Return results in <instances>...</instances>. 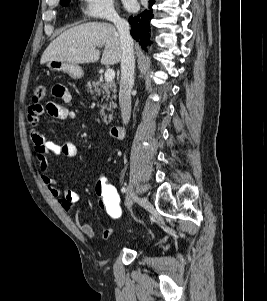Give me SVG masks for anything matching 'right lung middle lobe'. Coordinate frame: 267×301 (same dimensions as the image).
Instances as JSON below:
<instances>
[{
    "label": "right lung middle lobe",
    "mask_w": 267,
    "mask_h": 301,
    "mask_svg": "<svg viewBox=\"0 0 267 301\" xmlns=\"http://www.w3.org/2000/svg\"><path fill=\"white\" fill-rule=\"evenodd\" d=\"M70 1H71V0H61L60 3H61L62 5H66V4H68Z\"/></svg>",
    "instance_id": "right-lung-middle-lobe-1"
}]
</instances>
